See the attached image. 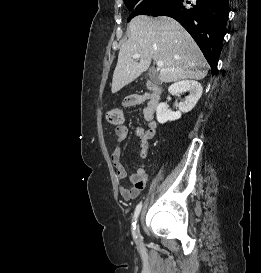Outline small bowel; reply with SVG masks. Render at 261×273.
<instances>
[{
  "instance_id": "1",
  "label": "small bowel",
  "mask_w": 261,
  "mask_h": 273,
  "mask_svg": "<svg viewBox=\"0 0 261 273\" xmlns=\"http://www.w3.org/2000/svg\"><path fill=\"white\" fill-rule=\"evenodd\" d=\"M143 102H146L144 109V119L147 122V127H137L135 129V135L138 138L139 143V158L146 159L149 150V141L154 138L157 131V123L155 121L156 107L151 104L150 94H132L124 99L123 105L125 107H134ZM128 134V127L125 124H119L115 127V148L111 154V160L114 165L116 178L118 181H122L127 177V172L121 162V144L125 140ZM129 180L132 184L131 187L119 186V193L125 200L135 199L140 192L146 186L147 171L144 165H140L136 171L129 176Z\"/></svg>"
}]
</instances>
